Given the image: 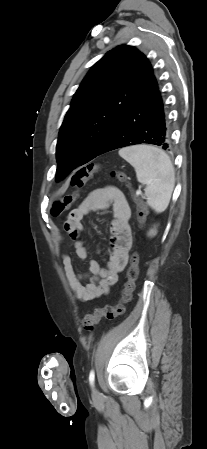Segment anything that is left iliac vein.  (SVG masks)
<instances>
[{"instance_id": "4c4485c4", "label": "left iliac vein", "mask_w": 207, "mask_h": 449, "mask_svg": "<svg viewBox=\"0 0 207 449\" xmlns=\"http://www.w3.org/2000/svg\"><path fill=\"white\" fill-rule=\"evenodd\" d=\"M92 396H93L94 399H98L99 398V392H98L97 389H93Z\"/></svg>"}]
</instances>
